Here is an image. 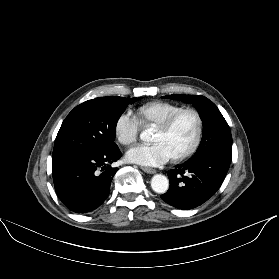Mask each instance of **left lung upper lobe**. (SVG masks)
Instances as JSON below:
<instances>
[{"instance_id":"1","label":"left lung upper lobe","mask_w":279,"mask_h":279,"mask_svg":"<svg viewBox=\"0 0 279 279\" xmlns=\"http://www.w3.org/2000/svg\"><path fill=\"white\" fill-rule=\"evenodd\" d=\"M164 97L192 103L199 112L203 123V136L196 153L190 159L216 155L231 162V132L226 120L212 101L197 95H166Z\"/></svg>"}]
</instances>
